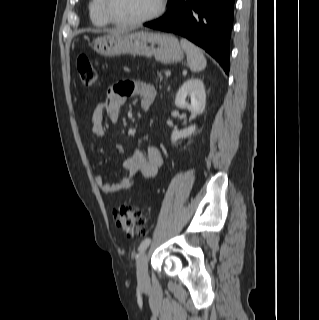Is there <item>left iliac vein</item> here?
Returning <instances> with one entry per match:
<instances>
[{"label":"left iliac vein","mask_w":319,"mask_h":320,"mask_svg":"<svg viewBox=\"0 0 319 320\" xmlns=\"http://www.w3.org/2000/svg\"><path fill=\"white\" fill-rule=\"evenodd\" d=\"M137 280L140 286H145L149 282L148 258L145 253L140 256L137 262Z\"/></svg>","instance_id":"1"}]
</instances>
